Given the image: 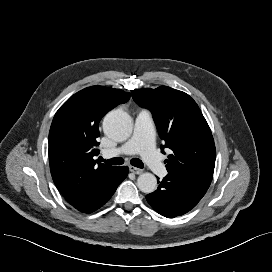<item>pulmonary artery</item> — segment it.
Returning a JSON list of instances; mask_svg holds the SVG:
<instances>
[{
  "mask_svg": "<svg viewBox=\"0 0 272 272\" xmlns=\"http://www.w3.org/2000/svg\"><path fill=\"white\" fill-rule=\"evenodd\" d=\"M139 153L144 158L152 172L158 176L166 175V167L160 159L154 145V127L150 112L141 110L135 118L134 131L131 138L122 146L104 150L106 157L117 155H132Z\"/></svg>",
  "mask_w": 272,
  "mask_h": 272,
  "instance_id": "pulmonary-artery-1",
  "label": "pulmonary artery"
}]
</instances>
